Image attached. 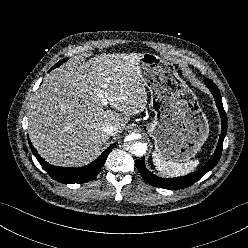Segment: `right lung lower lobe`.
I'll use <instances>...</instances> for the list:
<instances>
[{"label": "right lung lower lobe", "mask_w": 248, "mask_h": 248, "mask_svg": "<svg viewBox=\"0 0 248 248\" xmlns=\"http://www.w3.org/2000/svg\"><path fill=\"white\" fill-rule=\"evenodd\" d=\"M53 67L52 69H54ZM29 140V139H28ZM29 144L31 150L44 170L56 181L72 184V183H86L93 180L99 173L100 169L104 165L106 158L116 143L110 145L95 161L87 166L80 168H68V167H56L47 163L39 154L35 151L30 140Z\"/></svg>", "instance_id": "right-lung-lower-lobe-1"}]
</instances>
